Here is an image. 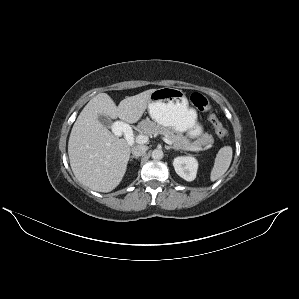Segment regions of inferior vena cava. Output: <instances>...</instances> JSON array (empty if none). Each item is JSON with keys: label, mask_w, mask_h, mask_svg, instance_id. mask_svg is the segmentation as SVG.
<instances>
[{"label": "inferior vena cava", "mask_w": 299, "mask_h": 299, "mask_svg": "<svg viewBox=\"0 0 299 299\" xmlns=\"http://www.w3.org/2000/svg\"><path fill=\"white\" fill-rule=\"evenodd\" d=\"M147 150H148V146H146V145H137V146L132 148V154L134 156H142L146 153Z\"/></svg>", "instance_id": "602c4592"}]
</instances>
